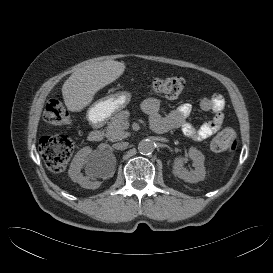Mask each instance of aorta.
I'll list each match as a JSON object with an SVG mask.
<instances>
[{
    "label": "aorta",
    "mask_w": 273,
    "mask_h": 273,
    "mask_svg": "<svg viewBox=\"0 0 273 273\" xmlns=\"http://www.w3.org/2000/svg\"><path fill=\"white\" fill-rule=\"evenodd\" d=\"M155 149V143L150 139H143L138 144V151L143 155L151 154Z\"/></svg>",
    "instance_id": "obj_1"
}]
</instances>
